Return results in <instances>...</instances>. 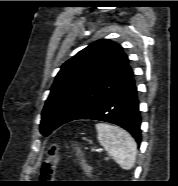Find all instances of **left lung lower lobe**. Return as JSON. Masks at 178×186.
<instances>
[{
    "label": "left lung lower lobe",
    "instance_id": "0a47b994",
    "mask_svg": "<svg viewBox=\"0 0 178 186\" xmlns=\"http://www.w3.org/2000/svg\"><path fill=\"white\" fill-rule=\"evenodd\" d=\"M77 119L99 120L116 124L127 130L139 144L141 142V115L134 77L85 109L73 120Z\"/></svg>",
    "mask_w": 178,
    "mask_h": 186
}]
</instances>
